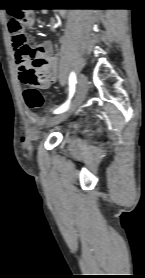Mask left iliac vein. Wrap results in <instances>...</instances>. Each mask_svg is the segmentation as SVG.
Listing matches in <instances>:
<instances>
[{"mask_svg":"<svg viewBox=\"0 0 145 278\" xmlns=\"http://www.w3.org/2000/svg\"><path fill=\"white\" fill-rule=\"evenodd\" d=\"M87 91H88V79L85 74H80L78 90H77V95L75 97V100L73 101L71 106L68 107V109H66L64 112L49 118L47 120V125L49 127H52L67 119L70 116V114L78 107V105L85 99Z\"/></svg>","mask_w":145,"mask_h":278,"instance_id":"left-iliac-vein-1","label":"left iliac vein"}]
</instances>
